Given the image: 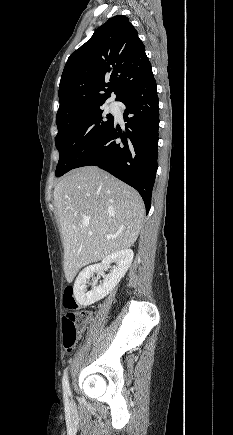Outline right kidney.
Listing matches in <instances>:
<instances>
[{
	"mask_svg": "<svg viewBox=\"0 0 233 435\" xmlns=\"http://www.w3.org/2000/svg\"><path fill=\"white\" fill-rule=\"evenodd\" d=\"M134 253L131 249H123L105 257L100 264L91 265L83 269L75 280L73 293L80 305L89 306L106 297L126 274L133 261ZM115 263L108 275L103 277V283L87 290L90 277Z\"/></svg>",
	"mask_w": 233,
	"mask_h": 435,
	"instance_id": "obj_1",
	"label": "right kidney"
}]
</instances>
